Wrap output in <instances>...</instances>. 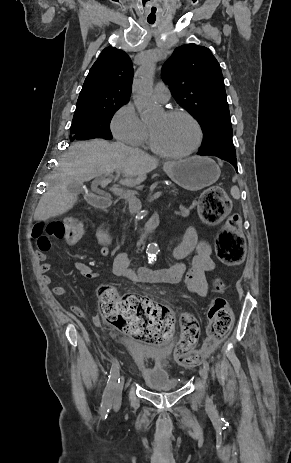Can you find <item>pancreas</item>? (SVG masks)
<instances>
[{"mask_svg": "<svg viewBox=\"0 0 291 463\" xmlns=\"http://www.w3.org/2000/svg\"><path fill=\"white\" fill-rule=\"evenodd\" d=\"M164 191L169 193L170 195H173V196H177L179 194H182L180 192V190L174 184H170L169 186H166L164 188Z\"/></svg>", "mask_w": 291, "mask_h": 463, "instance_id": "cf45deb5", "label": "pancreas"}]
</instances>
